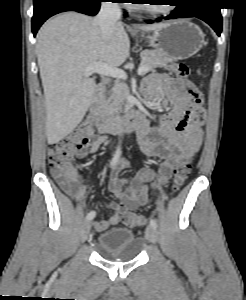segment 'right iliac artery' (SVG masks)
<instances>
[{
  "mask_svg": "<svg viewBox=\"0 0 246 300\" xmlns=\"http://www.w3.org/2000/svg\"><path fill=\"white\" fill-rule=\"evenodd\" d=\"M120 155H121V148H120V146H118V148H117V150L114 154V157L112 158V160L110 162V167H113L118 162V160L120 158ZM95 215H96L95 211H90L87 214L86 219L87 220H92V219H94Z\"/></svg>",
  "mask_w": 246,
  "mask_h": 300,
  "instance_id": "obj_1",
  "label": "right iliac artery"
}]
</instances>
